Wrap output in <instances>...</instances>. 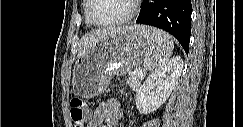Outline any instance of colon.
<instances>
[{"mask_svg": "<svg viewBox=\"0 0 243 127\" xmlns=\"http://www.w3.org/2000/svg\"><path fill=\"white\" fill-rule=\"evenodd\" d=\"M70 115L74 127H84L87 117V110L83 101L79 98H74L70 104Z\"/></svg>", "mask_w": 243, "mask_h": 127, "instance_id": "1", "label": "colon"}]
</instances>
